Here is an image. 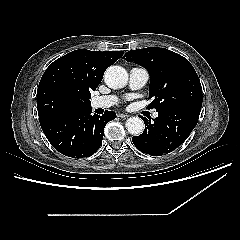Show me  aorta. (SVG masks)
<instances>
[{
	"label": "aorta",
	"instance_id": "762f6f07",
	"mask_svg": "<svg viewBox=\"0 0 240 240\" xmlns=\"http://www.w3.org/2000/svg\"><path fill=\"white\" fill-rule=\"evenodd\" d=\"M104 80L108 87L112 89H120L126 86L128 82V73L121 66H110L105 74ZM127 131L134 136H138L144 131V122L139 117H131L126 121Z\"/></svg>",
	"mask_w": 240,
	"mask_h": 240
}]
</instances>
